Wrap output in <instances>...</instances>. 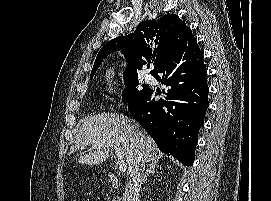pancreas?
Here are the masks:
<instances>
[{"label":"pancreas","mask_w":271,"mask_h":201,"mask_svg":"<svg viewBox=\"0 0 271 201\" xmlns=\"http://www.w3.org/2000/svg\"><path fill=\"white\" fill-rule=\"evenodd\" d=\"M112 201H120L119 198H117V200L114 198Z\"/></svg>","instance_id":"obj_1"}]
</instances>
